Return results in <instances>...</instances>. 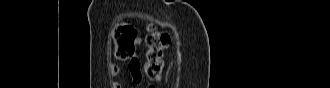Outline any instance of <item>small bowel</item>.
<instances>
[{
	"instance_id": "c3829d8e",
	"label": "small bowel",
	"mask_w": 330,
	"mask_h": 88,
	"mask_svg": "<svg viewBox=\"0 0 330 88\" xmlns=\"http://www.w3.org/2000/svg\"><path fill=\"white\" fill-rule=\"evenodd\" d=\"M141 44V38L136 36L135 38V46H139ZM123 72V67L121 65H113L110 69V76L116 77L120 75ZM129 72H130V78L131 81L134 84H140L142 80V73L139 67L138 62L136 63V66L133 67L132 64H129ZM114 88H121V85L118 82L113 83Z\"/></svg>"
}]
</instances>
